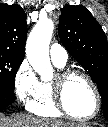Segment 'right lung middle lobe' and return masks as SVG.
<instances>
[{"label": "right lung middle lobe", "mask_w": 108, "mask_h": 127, "mask_svg": "<svg viewBox=\"0 0 108 127\" xmlns=\"http://www.w3.org/2000/svg\"><path fill=\"white\" fill-rule=\"evenodd\" d=\"M22 57L0 53V90L14 94V83L17 70L23 62Z\"/></svg>", "instance_id": "1"}]
</instances>
